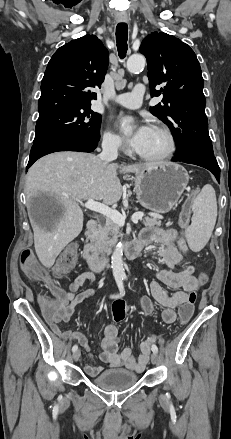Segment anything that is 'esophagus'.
<instances>
[{"mask_svg":"<svg viewBox=\"0 0 231 439\" xmlns=\"http://www.w3.org/2000/svg\"><path fill=\"white\" fill-rule=\"evenodd\" d=\"M117 20L119 22H128L129 21V16L127 14H120L117 16Z\"/></svg>","mask_w":231,"mask_h":439,"instance_id":"obj_1","label":"esophagus"}]
</instances>
